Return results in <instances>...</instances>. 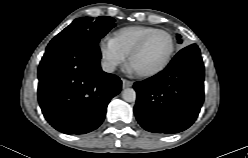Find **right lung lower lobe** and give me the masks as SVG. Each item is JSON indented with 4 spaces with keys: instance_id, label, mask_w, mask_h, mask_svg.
I'll return each instance as SVG.
<instances>
[{
    "instance_id": "1",
    "label": "right lung lower lobe",
    "mask_w": 248,
    "mask_h": 158,
    "mask_svg": "<svg viewBox=\"0 0 248 158\" xmlns=\"http://www.w3.org/2000/svg\"><path fill=\"white\" fill-rule=\"evenodd\" d=\"M98 45L89 40H52L38 69V100L44 117L65 134L98 128L121 80L100 67Z\"/></svg>"
}]
</instances>
